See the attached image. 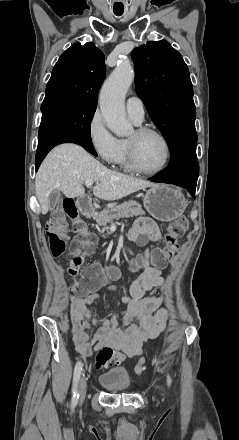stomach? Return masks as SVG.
<instances>
[{
  "instance_id": "stomach-1",
  "label": "stomach",
  "mask_w": 239,
  "mask_h": 440,
  "mask_svg": "<svg viewBox=\"0 0 239 440\" xmlns=\"http://www.w3.org/2000/svg\"><path fill=\"white\" fill-rule=\"evenodd\" d=\"M143 204L150 216L160 222H172L180 218L188 206L180 188L170 186L151 188L146 192Z\"/></svg>"
}]
</instances>
